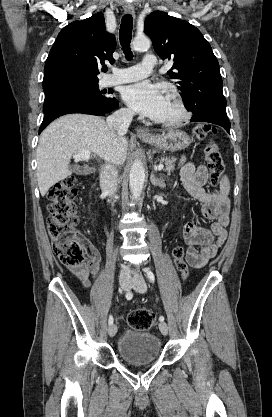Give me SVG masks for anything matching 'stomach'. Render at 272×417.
Wrapping results in <instances>:
<instances>
[{
    "label": "stomach",
    "mask_w": 272,
    "mask_h": 417,
    "mask_svg": "<svg viewBox=\"0 0 272 417\" xmlns=\"http://www.w3.org/2000/svg\"><path fill=\"white\" fill-rule=\"evenodd\" d=\"M140 138L145 143L153 145L156 149L170 152L183 150L191 143L188 134L181 130H169L161 135Z\"/></svg>",
    "instance_id": "obj_1"
}]
</instances>
